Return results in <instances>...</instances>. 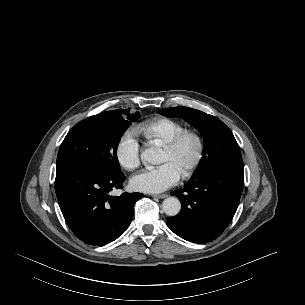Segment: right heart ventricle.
Instances as JSON below:
<instances>
[{
    "mask_svg": "<svg viewBox=\"0 0 305 305\" xmlns=\"http://www.w3.org/2000/svg\"><path fill=\"white\" fill-rule=\"evenodd\" d=\"M186 129V126L179 121L170 118H157L141 124L138 127V132L151 143L164 146Z\"/></svg>",
    "mask_w": 305,
    "mask_h": 305,
    "instance_id": "1",
    "label": "right heart ventricle"
}]
</instances>
